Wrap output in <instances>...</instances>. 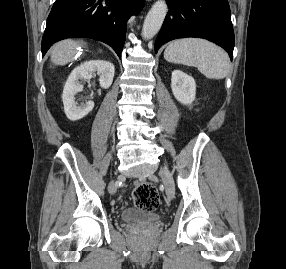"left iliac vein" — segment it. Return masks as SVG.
<instances>
[{"mask_svg": "<svg viewBox=\"0 0 286 269\" xmlns=\"http://www.w3.org/2000/svg\"><path fill=\"white\" fill-rule=\"evenodd\" d=\"M159 174L162 178L167 197L172 199L175 193V185L170 171L167 167H162Z\"/></svg>", "mask_w": 286, "mask_h": 269, "instance_id": "left-iliac-vein-1", "label": "left iliac vein"}]
</instances>
